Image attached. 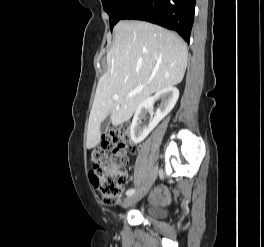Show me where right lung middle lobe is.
I'll list each match as a JSON object with an SVG mask.
<instances>
[{
	"label": "right lung middle lobe",
	"mask_w": 264,
	"mask_h": 247,
	"mask_svg": "<svg viewBox=\"0 0 264 247\" xmlns=\"http://www.w3.org/2000/svg\"><path fill=\"white\" fill-rule=\"evenodd\" d=\"M133 0H102L103 8L108 13L110 19V28L121 20L124 12Z\"/></svg>",
	"instance_id": "obj_1"
}]
</instances>
